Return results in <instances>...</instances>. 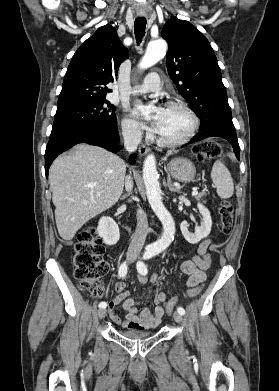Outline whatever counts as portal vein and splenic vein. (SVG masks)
I'll return each instance as SVG.
<instances>
[{"instance_id": "portal-vein-and-splenic-vein-1", "label": "portal vein and splenic vein", "mask_w": 279, "mask_h": 391, "mask_svg": "<svg viewBox=\"0 0 279 391\" xmlns=\"http://www.w3.org/2000/svg\"><path fill=\"white\" fill-rule=\"evenodd\" d=\"M197 194H198V191H197L196 189H194V190L192 191V195L195 196V195H197Z\"/></svg>"}]
</instances>
